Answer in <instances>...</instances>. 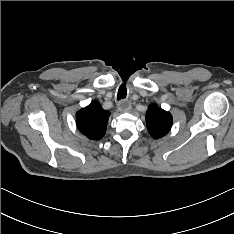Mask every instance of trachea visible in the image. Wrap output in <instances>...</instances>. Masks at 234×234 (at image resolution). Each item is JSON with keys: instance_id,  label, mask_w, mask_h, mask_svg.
<instances>
[{"instance_id": "trachea-1", "label": "trachea", "mask_w": 234, "mask_h": 234, "mask_svg": "<svg viewBox=\"0 0 234 234\" xmlns=\"http://www.w3.org/2000/svg\"><path fill=\"white\" fill-rule=\"evenodd\" d=\"M127 95L126 86L122 84L118 89L117 100L124 99Z\"/></svg>"}]
</instances>
